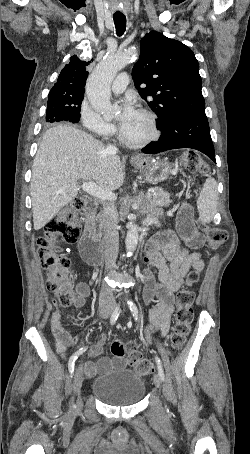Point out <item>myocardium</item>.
Wrapping results in <instances>:
<instances>
[{"mask_svg": "<svg viewBox=\"0 0 250 454\" xmlns=\"http://www.w3.org/2000/svg\"><path fill=\"white\" fill-rule=\"evenodd\" d=\"M138 112L141 113L146 118L150 127V134L142 140L131 141L124 137L121 130L118 133V137L121 143H123L127 147L134 149L144 148L148 146L149 144L156 141L160 135L156 116L154 115V113L144 108L139 109Z\"/></svg>", "mask_w": 250, "mask_h": 454, "instance_id": "f54148a6", "label": "myocardium"}]
</instances>
